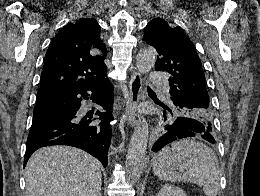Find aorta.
Returning a JSON list of instances; mask_svg holds the SVG:
<instances>
[{
	"instance_id": "1",
	"label": "aorta",
	"mask_w": 260,
	"mask_h": 196,
	"mask_svg": "<svg viewBox=\"0 0 260 196\" xmlns=\"http://www.w3.org/2000/svg\"><path fill=\"white\" fill-rule=\"evenodd\" d=\"M157 53L152 47L139 51L136 57V66L140 73H148L155 65ZM149 136V129L146 120L137 124L131 137L126 155V169L132 183L136 182L146 167V149Z\"/></svg>"
}]
</instances>
